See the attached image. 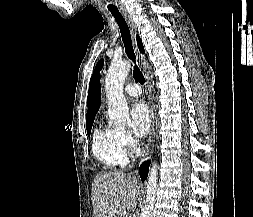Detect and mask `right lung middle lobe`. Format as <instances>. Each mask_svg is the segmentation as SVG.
<instances>
[{
    "mask_svg": "<svg viewBox=\"0 0 253 217\" xmlns=\"http://www.w3.org/2000/svg\"><path fill=\"white\" fill-rule=\"evenodd\" d=\"M92 125H93V121L92 122H88L86 123V127H87V134L90 135L91 133V128H92Z\"/></svg>",
    "mask_w": 253,
    "mask_h": 217,
    "instance_id": "right-lung-middle-lobe-1",
    "label": "right lung middle lobe"
}]
</instances>
